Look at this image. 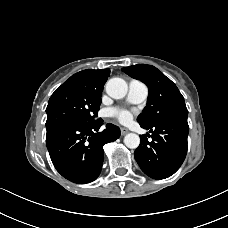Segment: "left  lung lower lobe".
Segmentation results:
<instances>
[{"label": "left lung lower lobe", "instance_id": "0a47b994", "mask_svg": "<svg viewBox=\"0 0 228 228\" xmlns=\"http://www.w3.org/2000/svg\"><path fill=\"white\" fill-rule=\"evenodd\" d=\"M149 130L152 141L141 135V143L134 157L142 171L154 179H164L173 175L182 165L187 153L189 126L187 115L160 121ZM150 137V134L147 133Z\"/></svg>", "mask_w": 228, "mask_h": 228}]
</instances>
